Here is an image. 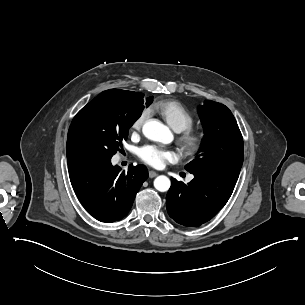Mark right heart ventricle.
Masks as SVG:
<instances>
[{
  "mask_svg": "<svg viewBox=\"0 0 305 305\" xmlns=\"http://www.w3.org/2000/svg\"><path fill=\"white\" fill-rule=\"evenodd\" d=\"M152 110L162 116L170 127L177 132L191 129L196 123L194 116L176 101L162 100L155 102L152 105Z\"/></svg>",
  "mask_w": 305,
  "mask_h": 305,
  "instance_id": "right-heart-ventricle-1",
  "label": "right heart ventricle"
}]
</instances>
